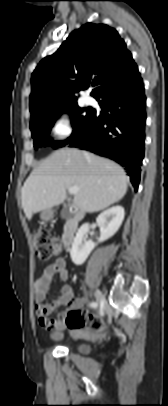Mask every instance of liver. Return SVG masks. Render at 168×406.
Wrapping results in <instances>:
<instances>
[{"instance_id": "obj_1", "label": "liver", "mask_w": 168, "mask_h": 406, "mask_svg": "<svg viewBox=\"0 0 168 406\" xmlns=\"http://www.w3.org/2000/svg\"><path fill=\"white\" fill-rule=\"evenodd\" d=\"M127 181L117 163L87 151L63 148L31 172L21 191L22 207L31 220L33 214L63 203L67 189L77 186L73 204L84 212H98L124 197Z\"/></svg>"}]
</instances>
